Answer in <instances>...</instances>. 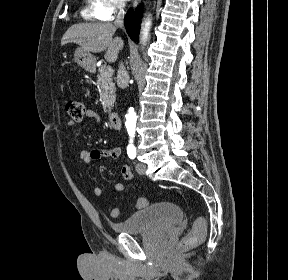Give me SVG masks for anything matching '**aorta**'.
I'll use <instances>...</instances> for the list:
<instances>
[{"mask_svg": "<svg viewBox=\"0 0 288 280\" xmlns=\"http://www.w3.org/2000/svg\"><path fill=\"white\" fill-rule=\"evenodd\" d=\"M150 22L148 21L145 25L143 31V39L147 37L149 30ZM125 120L133 121H124V126H127L126 136H129V140H134V136H137L135 120H138L137 111H135V106H126Z\"/></svg>", "mask_w": 288, "mask_h": 280, "instance_id": "aorta-1", "label": "aorta"}]
</instances>
